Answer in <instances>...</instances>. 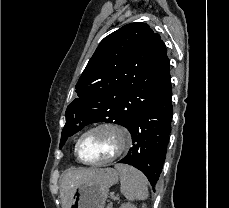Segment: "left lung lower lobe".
Wrapping results in <instances>:
<instances>
[{
    "instance_id": "obj_1",
    "label": "left lung lower lobe",
    "mask_w": 229,
    "mask_h": 208,
    "mask_svg": "<svg viewBox=\"0 0 229 208\" xmlns=\"http://www.w3.org/2000/svg\"><path fill=\"white\" fill-rule=\"evenodd\" d=\"M172 87L141 110L127 129L133 146L119 161L142 171L154 187L162 172L171 133Z\"/></svg>"
}]
</instances>
